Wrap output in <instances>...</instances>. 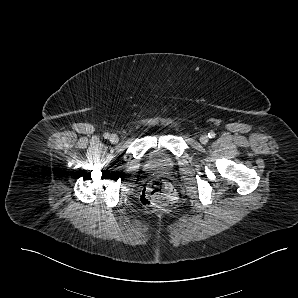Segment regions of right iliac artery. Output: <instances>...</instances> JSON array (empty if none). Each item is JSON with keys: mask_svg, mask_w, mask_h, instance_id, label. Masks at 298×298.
<instances>
[{"mask_svg": "<svg viewBox=\"0 0 298 298\" xmlns=\"http://www.w3.org/2000/svg\"><path fill=\"white\" fill-rule=\"evenodd\" d=\"M109 136H110L109 133L104 134V138H106V139L109 138Z\"/></svg>", "mask_w": 298, "mask_h": 298, "instance_id": "82829eb1", "label": "right iliac artery"}]
</instances>
